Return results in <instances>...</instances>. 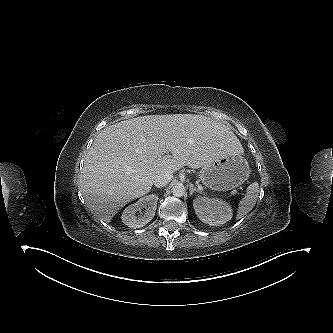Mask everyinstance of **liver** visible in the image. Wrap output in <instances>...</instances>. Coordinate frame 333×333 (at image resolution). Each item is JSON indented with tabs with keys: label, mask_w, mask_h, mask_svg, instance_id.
I'll list each match as a JSON object with an SVG mask.
<instances>
[{
	"label": "liver",
	"mask_w": 333,
	"mask_h": 333,
	"mask_svg": "<svg viewBox=\"0 0 333 333\" xmlns=\"http://www.w3.org/2000/svg\"><path fill=\"white\" fill-rule=\"evenodd\" d=\"M243 152L226 125L203 115L140 116L98 134L80 176L81 192L90 211L109 223L128 202L150 192L156 175Z\"/></svg>",
	"instance_id": "liver-1"
}]
</instances>
